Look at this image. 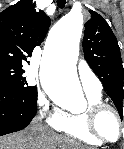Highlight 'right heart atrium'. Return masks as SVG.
<instances>
[{
    "mask_svg": "<svg viewBox=\"0 0 124 149\" xmlns=\"http://www.w3.org/2000/svg\"><path fill=\"white\" fill-rule=\"evenodd\" d=\"M38 113L47 126L55 130L62 126L67 114L45 96H40L38 99Z\"/></svg>",
    "mask_w": 124,
    "mask_h": 149,
    "instance_id": "right-heart-atrium-1",
    "label": "right heart atrium"
}]
</instances>
